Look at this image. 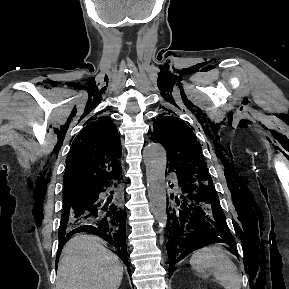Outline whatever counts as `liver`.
I'll return each instance as SVG.
<instances>
[{
    "mask_svg": "<svg viewBox=\"0 0 289 289\" xmlns=\"http://www.w3.org/2000/svg\"><path fill=\"white\" fill-rule=\"evenodd\" d=\"M101 243L93 235L73 236L62 250L55 289H118L123 266Z\"/></svg>",
    "mask_w": 289,
    "mask_h": 289,
    "instance_id": "obj_1",
    "label": "liver"
}]
</instances>
